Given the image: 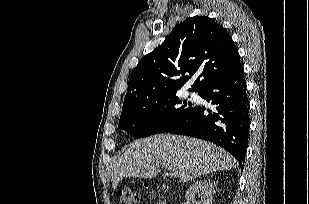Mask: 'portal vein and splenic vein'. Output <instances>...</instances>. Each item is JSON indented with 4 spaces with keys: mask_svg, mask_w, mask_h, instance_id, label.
I'll return each mask as SVG.
<instances>
[{
    "mask_svg": "<svg viewBox=\"0 0 309 204\" xmlns=\"http://www.w3.org/2000/svg\"><path fill=\"white\" fill-rule=\"evenodd\" d=\"M166 169L168 170L166 174L169 175L170 177L176 178L178 176L177 172L173 170L172 168L166 167Z\"/></svg>",
    "mask_w": 309,
    "mask_h": 204,
    "instance_id": "portal-vein-and-splenic-vein-1",
    "label": "portal vein and splenic vein"
}]
</instances>
